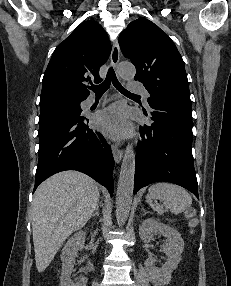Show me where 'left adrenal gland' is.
Segmentation results:
<instances>
[{
    "label": "left adrenal gland",
    "instance_id": "1",
    "mask_svg": "<svg viewBox=\"0 0 231 286\" xmlns=\"http://www.w3.org/2000/svg\"><path fill=\"white\" fill-rule=\"evenodd\" d=\"M142 211L144 212V215L148 213L144 208H142Z\"/></svg>",
    "mask_w": 231,
    "mask_h": 286
}]
</instances>
